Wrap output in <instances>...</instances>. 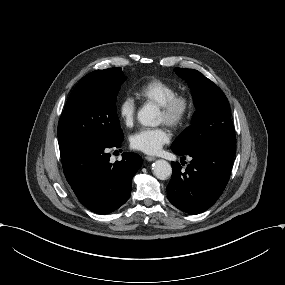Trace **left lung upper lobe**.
<instances>
[{
	"label": "left lung upper lobe",
	"instance_id": "left-lung-upper-lobe-1",
	"mask_svg": "<svg viewBox=\"0 0 285 285\" xmlns=\"http://www.w3.org/2000/svg\"><path fill=\"white\" fill-rule=\"evenodd\" d=\"M174 71L189 84L196 111L191 125L172 144V151L186 155L215 141L235 140L229 103L222 90L197 70Z\"/></svg>",
	"mask_w": 285,
	"mask_h": 285
}]
</instances>
